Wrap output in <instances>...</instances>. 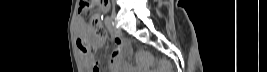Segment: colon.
<instances>
[{
  "mask_svg": "<svg viewBox=\"0 0 267 72\" xmlns=\"http://www.w3.org/2000/svg\"><path fill=\"white\" fill-rule=\"evenodd\" d=\"M108 3L107 0H81L80 1V9L82 12L89 14V26L91 30L94 32L98 39H103L105 37V31L101 27L99 22V12H100V5ZM80 48L82 51H88L91 49V44L88 40H81ZM97 70L98 68L95 67ZM160 72H170V67L168 63H163L160 66Z\"/></svg>",
  "mask_w": 267,
  "mask_h": 72,
  "instance_id": "colon-1",
  "label": "colon"
}]
</instances>
